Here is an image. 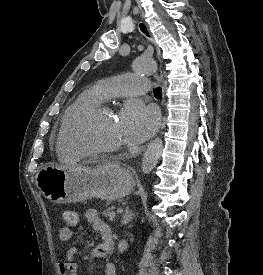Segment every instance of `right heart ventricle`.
Masks as SVG:
<instances>
[{
  "label": "right heart ventricle",
  "mask_w": 263,
  "mask_h": 275,
  "mask_svg": "<svg viewBox=\"0 0 263 275\" xmlns=\"http://www.w3.org/2000/svg\"><path fill=\"white\" fill-rule=\"evenodd\" d=\"M103 99L98 87H93L81 93L66 110L62 120L58 142V151L61 156L71 159H78L82 156L67 140V133L82 113L101 104Z\"/></svg>",
  "instance_id": "obj_1"
}]
</instances>
